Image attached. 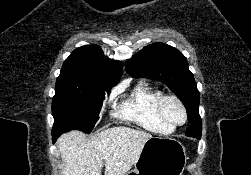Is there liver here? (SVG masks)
I'll use <instances>...</instances> for the list:
<instances>
[{"label":"liver","instance_id":"obj_1","mask_svg":"<svg viewBox=\"0 0 251 175\" xmlns=\"http://www.w3.org/2000/svg\"><path fill=\"white\" fill-rule=\"evenodd\" d=\"M151 133L131 127H108L88 139L82 131H68L59 137L64 175H125L136 163Z\"/></svg>","mask_w":251,"mask_h":175}]
</instances>
